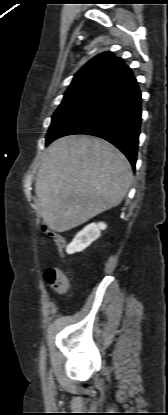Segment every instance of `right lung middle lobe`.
<instances>
[{
    "label": "right lung middle lobe",
    "mask_w": 168,
    "mask_h": 415,
    "mask_svg": "<svg viewBox=\"0 0 168 415\" xmlns=\"http://www.w3.org/2000/svg\"><path fill=\"white\" fill-rule=\"evenodd\" d=\"M99 94V92L86 91L64 95L60 106L52 116V122L46 136V141L52 138L73 115Z\"/></svg>",
    "instance_id": "obj_1"
}]
</instances>
